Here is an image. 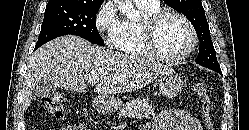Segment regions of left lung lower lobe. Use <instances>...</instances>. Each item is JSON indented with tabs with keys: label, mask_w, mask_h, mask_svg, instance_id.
I'll return each instance as SVG.
<instances>
[{
	"label": "left lung lower lobe",
	"mask_w": 249,
	"mask_h": 130,
	"mask_svg": "<svg viewBox=\"0 0 249 130\" xmlns=\"http://www.w3.org/2000/svg\"><path fill=\"white\" fill-rule=\"evenodd\" d=\"M218 73H220L221 75H222V72L220 71V72H218Z\"/></svg>",
	"instance_id": "obj_1"
}]
</instances>
